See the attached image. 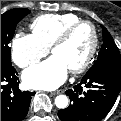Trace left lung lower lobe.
I'll return each mask as SVG.
<instances>
[{"mask_svg":"<svg viewBox=\"0 0 121 121\" xmlns=\"http://www.w3.org/2000/svg\"><path fill=\"white\" fill-rule=\"evenodd\" d=\"M120 90L121 69L88 71L77 86L66 91L70 105L59 110L58 116L61 121H100L113 107Z\"/></svg>","mask_w":121,"mask_h":121,"instance_id":"left-lung-lower-lobe-1","label":"left lung lower lobe"}]
</instances>
